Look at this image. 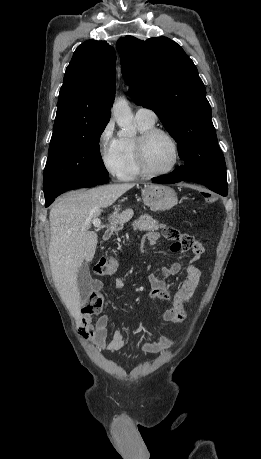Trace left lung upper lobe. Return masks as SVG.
<instances>
[{"label": "left lung upper lobe", "instance_id": "1", "mask_svg": "<svg viewBox=\"0 0 261 459\" xmlns=\"http://www.w3.org/2000/svg\"><path fill=\"white\" fill-rule=\"evenodd\" d=\"M121 71L137 105L152 109L179 145L185 176L226 171L205 86L193 61L166 37L117 41Z\"/></svg>", "mask_w": 261, "mask_h": 459}]
</instances>
